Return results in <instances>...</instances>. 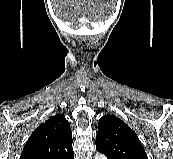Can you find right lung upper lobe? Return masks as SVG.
<instances>
[{
  "mask_svg": "<svg viewBox=\"0 0 173 159\" xmlns=\"http://www.w3.org/2000/svg\"><path fill=\"white\" fill-rule=\"evenodd\" d=\"M72 142L64 115L51 116L31 134L20 159H69L74 155Z\"/></svg>",
  "mask_w": 173,
  "mask_h": 159,
  "instance_id": "right-lung-upper-lobe-1",
  "label": "right lung upper lobe"
}]
</instances>
